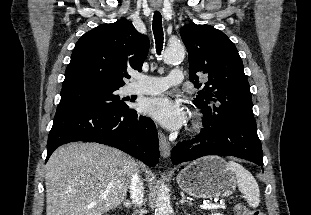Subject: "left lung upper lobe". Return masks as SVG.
I'll use <instances>...</instances> for the list:
<instances>
[{"mask_svg":"<svg viewBox=\"0 0 311 215\" xmlns=\"http://www.w3.org/2000/svg\"><path fill=\"white\" fill-rule=\"evenodd\" d=\"M180 34L188 50L190 81L195 88H202L193 102L203 111L204 121L254 117L249 83L232 41L210 25L189 23ZM200 73L205 74L207 82L199 81Z\"/></svg>","mask_w":311,"mask_h":215,"instance_id":"5c2ea615","label":"left lung upper lobe"}]
</instances>
